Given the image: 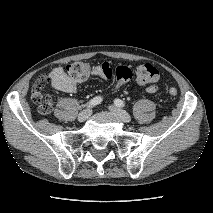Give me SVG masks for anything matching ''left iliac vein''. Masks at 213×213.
Segmentation results:
<instances>
[{"label":"left iliac vein","instance_id":"left-iliac-vein-1","mask_svg":"<svg viewBox=\"0 0 213 213\" xmlns=\"http://www.w3.org/2000/svg\"><path fill=\"white\" fill-rule=\"evenodd\" d=\"M109 110L114 112L123 122L129 123L131 121L130 115L118 106L112 105L109 107Z\"/></svg>","mask_w":213,"mask_h":213}]
</instances>
